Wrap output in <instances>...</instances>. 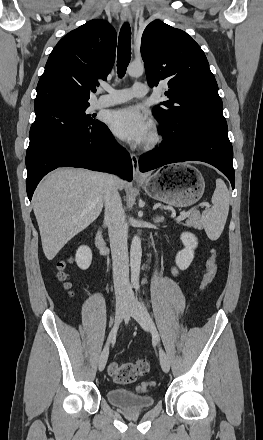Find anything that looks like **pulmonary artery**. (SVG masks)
<instances>
[{
	"instance_id": "pulmonary-artery-1",
	"label": "pulmonary artery",
	"mask_w": 263,
	"mask_h": 440,
	"mask_svg": "<svg viewBox=\"0 0 263 440\" xmlns=\"http://www.w3.org/2000/svg\"><path fill=\"white\" fill-rule=\"evenodd\" d=\"M107 91V94L101 95L94 101V108L108 107L129 101L134 97H143L148 92V87L145 83L136 82L131 88L121 90L107 89Z\"/></svg>"
}]
</instances>
